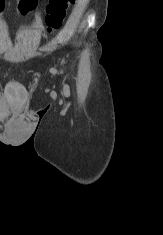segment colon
Instances as JSON below:
<instances>
[{"label":"colon","mask_w":163,"mask_h":235,"mask_svg":"<svg viewBox=\"0 0 163 235\" xmlns=\"http://www.w3.org/2000/svg\"><path fill=\"white\" fill-rule=\"evenodd\" d=\"M75 0H48L46 8V29L51 32L61 27L68 7ZM4 0H0V10L3 8ZM38 5V0H18V9L22 14H28Z\"/></svg>","instance_id":"5ec220e1"}]
</instances>
